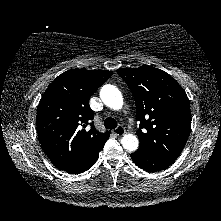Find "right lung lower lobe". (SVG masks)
<instances>
[{"label":"right lung lower lobe","instance_id":"1","mask_svg":"<svg viewBox=\"0 0 221 221\" xmlns=\"http://www.w3.org/2000/svg\"><path fill=\"white\" fill-rule=\"evenodd\" d=\"M105 142L92 155H90L84 162H82L79 166L75 167L73 170L69 172L71 174H79L88 170L92 165H94V163L98 159L99 152L102 150Z\"/></svg>","mask_w":221,"mask_h":221}]
</instances>
